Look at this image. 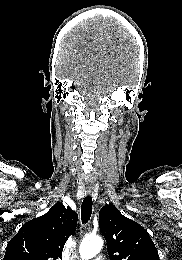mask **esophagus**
I'll list each match as a JSON object with an SVG mask.
<instances>
[{"label":"esophagus","instance_id":"esophagus-1","mask_svg":"<svg viewBox=\"0 0 182 260\" xmlns=\"http://www.w3.org/2000/svg\"><path fill=\"white\" fill-rule=\"evenodd\" d=\"M86 193L90 195L92 193V189L91 188H87L86 189Z\"/></svg>","mask_w":182,"mask_h":260}]
</instances>
